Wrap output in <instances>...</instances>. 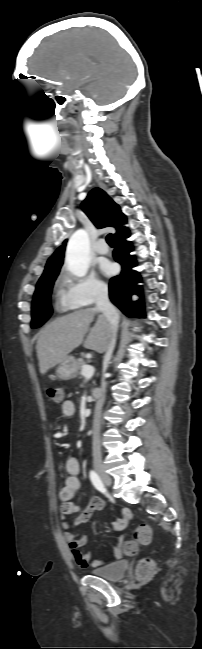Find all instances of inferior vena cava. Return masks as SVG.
<instances>
[{"label":"inferior vena cava","instance_id":"1","mask_svg":"<svg viewBox=\"0 0 202 649\" xmlns=\"http://www.w3.org/2000/svg\"><path fill=\"white\" fill-rule=\"evenodd\" d=\"M95 302H96V309L100 312L103 313V315L107 318V320L110 323L111 330H112V335H111V340L108 345V348L106 350V355H105V362L106 364L109 363L111 360L115 345H116V338H117V330H118V324H119V313L116 310V308L110 303L109 298H108V287L107 286H100L97 289L96 292V297H95ZM104 393H105V387L103 386L102 390L99 393V400H98V407L97 411L100 409L103 398H104ZM99 429H100V420L99 417H96V420L94 422V436H93V443H92V452L93 455H100L101 448H100V438H99Z\"/></svg>","mask_w":202,"mask_h":649}]
</instances>
